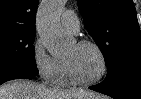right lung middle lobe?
<instances>
[{"mask_svg": "<svg viewBox=\"0 0 141 99\" xmlns=\"http://www.w3.org/2000/svg\"><path fill=\"white\" fill-rule=\"evenodd\" d=\"M32 28H0V68L25 67L36 69Z\"/></svg>", "mask_w": 141, "mask_h": 99, "instance_id": "dd1d6c3e", "label": "right lung middle lobe"}]
</instances>
